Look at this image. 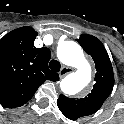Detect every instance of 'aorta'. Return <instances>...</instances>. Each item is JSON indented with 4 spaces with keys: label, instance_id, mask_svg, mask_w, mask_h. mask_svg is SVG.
<instances>
[{
    "label": "aorta",
    "instance_id": "aorta-1",
    "mask_svg": "<svg viewBox=\"0 0 124 124\" xmlns=\"http://www.w3.org/2000/svg\"><path fill=\"white\" fill-rule=\"evenodd\" d=\"M57 57L65 65L75 68L60 83L61 91L75 95L85 90L91 81V69L82 48L74 41H61L57 47Z\"/></svg>",
    "mask_w": 124,
    "mask_h": 124
}]
</instances>
